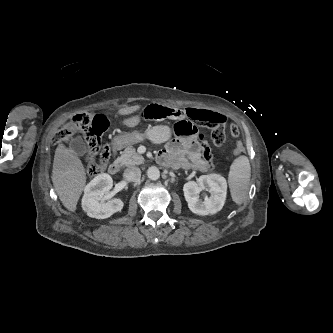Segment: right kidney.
Instances as JSON below:
<instances>
[{
    "instance_id": "ca27d5eb",
    "label": "right kidney",
    "mask_w": 333,
    "mask_h": 333,
    "mask_svg": "<svg viewBox=\"0 0 333 333\" xmlns=\"http://www.w3.org/2000/svg\"><path fill=\"white\" fill-rule=\"evenodd\" d=\"M113 185V180L108 174H99L91 180L84 189L82 197V209L88 216L96 219H105L114 213L121 211L123 201L119 198H114L108 202H102L106 192Z\"/></svg>"
}]
</instances>
